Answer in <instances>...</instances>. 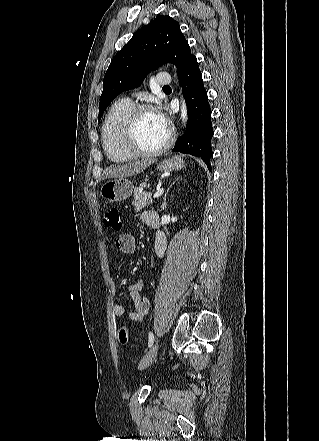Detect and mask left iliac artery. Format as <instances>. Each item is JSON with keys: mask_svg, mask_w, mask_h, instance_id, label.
<instances>
[{"mask_svg": "<svg viewBox=\"0 0 319 441\" xmlns=\"http://www.w3.org/2000/svg\"><path fill=\"white\" fill-rule=\"evenodd\" d=\"M149 339H148V345H149V347H151L152 345H153V343H154V335H153V332H149Z\"/></svg>", "mask_w": 319, "mask_h": 441, "instance_id": "obj_1", "label": "left iliac artery"}]
</instances>
